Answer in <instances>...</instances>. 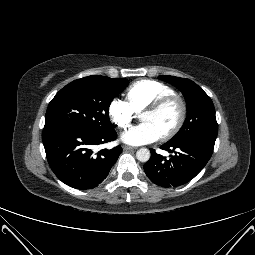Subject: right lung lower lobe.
Masks as SVG:
<instances>
[{
	"instance_id": "1",
	"label": "right lung lower lobe",
	"mask_w": 255,
	"mask_h": 255,
	"mask_svg": "<svg viewBox=\"0 0 255 255\" xmlns=\"http://www.w3.org/2000/svg\"><path fill=\"white\" fill-rule=\"evenodd\" d=\"M113 129L94 134L78 127H54L43 130L42 139L48 163L55 175L76 189L97 187L108 175L122 148L92 150L95 145L115 140Z\"/></svg>"
}]
</instances>
